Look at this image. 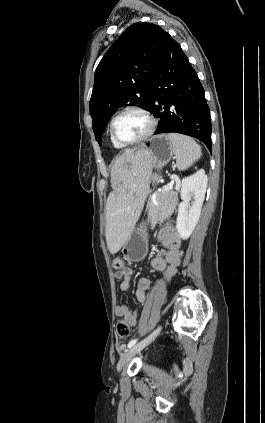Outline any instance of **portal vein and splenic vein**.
Instances as JSON below:
<instances>
[{"instance_id": "1", "label": "portal vein and splenic vein", "mask_w": 265, "mask_h": 423, "mask_svg": "<svg viewBox=\"0 0 265 423\" xmlns=\"http://www.w3.org/2000/svg\"><path fill=\"white\" fill-rule=\"evenodd\" d=\"M164 190H166V191H167V190H170V185H165V186H164Z\"/></svg>"}]
</instances>
